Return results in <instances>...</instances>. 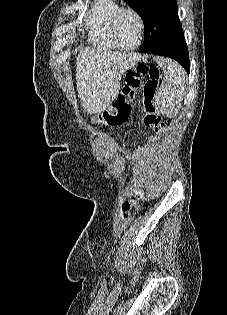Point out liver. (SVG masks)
I'll return each instance as SVG.
<instances>
[{"label": "liver", "mask_w": 227, "mask_h": 315, "mask_svg": "<svg viewBox=\"0 0 227 315\" xmlns=\"http://www.w3.org/2000/svg\"><path fill=\"white\" fill-rule=\"evenodd\" d=\"M135 56L85 48L76 58V87L83 108L90 114L101 113L119 93L120 80L134 66Z\"/></svg>", "instance_id": "1"}]
</instances>
